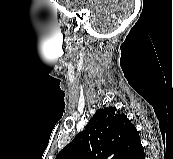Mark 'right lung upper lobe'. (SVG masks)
<instances>
[{
    "mask_svg": "<svg viewBox=\"0 0 173 159\" xmlns=\"http://www.w3.org/2000/svg\"><path fill=\"white\" fill-rule=\"evenodd\" d=\"M142 149L139 133L127 116L106 107L96 111L56 159H131Z\"/></svg>",
    "mask_w": 173,
    "mask_h": 159,
    "instance_id": "1",
    "label": "right lung upper lobe"
}]
</instances>
